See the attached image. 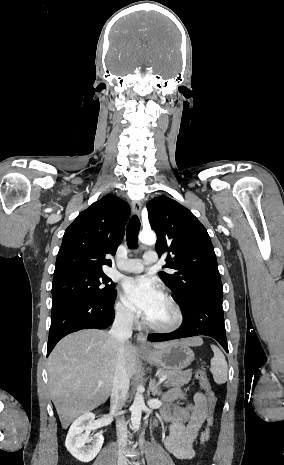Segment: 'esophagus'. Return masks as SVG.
<instances>
[{"label": "esophagus", "mask_w": 284, "mask_h": 465, "mask_svg": "<svg viewBox=\"0 0 284 465\" xmlns=\"http://www.w3.org/2000/svg\"><path fill=\"white\" fill-rule=\"evenodd\" d=\"M131 207L132 212L135 215H140L142 209V203L140 202V200H132ZM137 343L139 344L140 349H145L147 347L146 335H144L143 333H139L137 335Z\"/></svg>", "instance_id": "obj_1"}]
</instances>
